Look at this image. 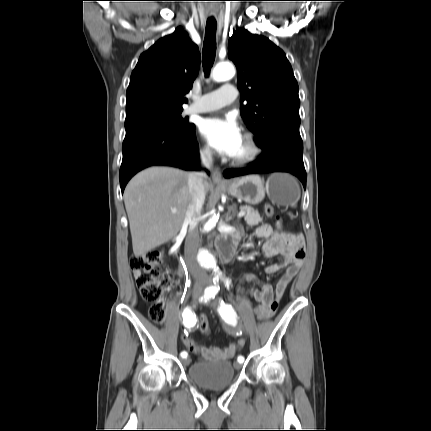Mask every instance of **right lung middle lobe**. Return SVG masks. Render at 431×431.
Segmentation results:
<instances>
[{
    "mask_svg": "<svg viewBox=\"0 0 431 431\" xmlns=\"http://www.w3.org/2000/svg\"><path fill=\"white\" fill-rule=\"evenodd\" d=\"M182 110L171 112H158L138 118L125 120L126 132L150 125H163L178 130H190L194 124L181 117Z\"/></svg>",
    "mask_w": 431,
    "mask_h": 431,
    "instance_id": "dd1d6c3e",
    "label": "right lung middle lobe"
}]
</instances>
